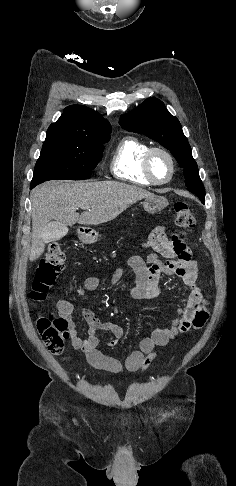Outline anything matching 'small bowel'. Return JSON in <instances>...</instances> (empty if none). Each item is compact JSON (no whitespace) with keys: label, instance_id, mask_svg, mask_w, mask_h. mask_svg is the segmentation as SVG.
Returning a JSON list of instances; mask_svg holds the SVG:
<instances>
[{"label":"small bowel","instance_id":"obj_1","mask_svg":"<svg viewBox=\"0 0 236 486\" xmlns=\"http://www.w3.org/2000/svg\"><path fill=\"white\" fill-rule=\"evenodd\" d=\"M146 246L153 249L146 259L134 255L128 260L129 266L135 274V285L130 289V295L136 299H154L160 294L159 280L162 274L176 276L188 288L185 292L181 288L178 296L183 302L176 310V318L168 327H156L148 337L139 342V348L133 351L124 362L107 356L98 350L101 331L109 332L114 340L108 345L114 347L117 340L124 335L121 325L100 320L90 309L83 307L81 315L87 323V334L78 333L73 318L74 306L69 301L61 299L57 302L59 317L66 321L67 330L74 349L85 354L88 363L96 369L110 373L141 372L146 370L157 357V347L165 346L180 333L191 329H200L208 319L202 293L197 286V263L192 259L191 252L186 244L174 237L168 238L164 226L157 227L150 234ZM159 255L164 259L159 258ZM123 271L117 269L110 284L116 285L122 278ZM101 285L98 277L85 279L83 289L94 291Z\"/></svg>","mask_w":236,"mask_h":486}]
</instances>
